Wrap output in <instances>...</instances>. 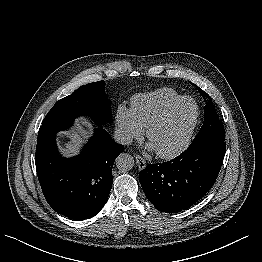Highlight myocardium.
Here are the masks:
<instances>
[{"mask_svg": "<svg viewBox=\"0 0 262 262\" xmlns=\"http://www.w3.org/2000/svg\"><path fill=\"white\" fill-rule=\"evenodd\" d=\"M191 101L195 105V115L193 120L183 138V140L177 145L174 149L166 152L157 151L156 154L162 159H172L180 155L190 144L196 126L198 124L199 116H200V107L196 100L189 96H183L182 98L178 99L177 101L170 104L167 108H165L159 116L148 126L146 131V136L150 141L152 133L160 127L165 121L169 118V116L173 113V111L178 108L183 102Z\"/></svg>", "mask_w": 262, "mask_h": 262, "instance_id": "obj_1", "label": "myocardium"}]
</instances>
